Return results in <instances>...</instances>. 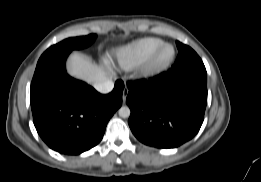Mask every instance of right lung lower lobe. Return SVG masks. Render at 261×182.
I'll use <instances>...</instances> for the list:
<instances>
[{"mask_svg": "<svg viewBox=\"0 0 261 182\" xmlns=\"http://www.w3.org/2000/svg\"><path fill=\"white\" fill-rule=\"evenodd\" d=\"M69 53L38 61L30 102L42 140L61 154L77 155L101 141L108 121L122 104L124 84L116 81L111 93H98L66 73Z\"/></svg>", "mask_w": 261, "mask_h": 182, "instance_id": "98d812e1", "label": "right lung lower lobe"}]
</instances>
